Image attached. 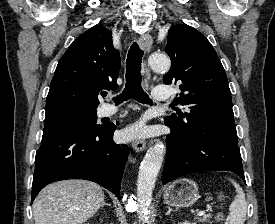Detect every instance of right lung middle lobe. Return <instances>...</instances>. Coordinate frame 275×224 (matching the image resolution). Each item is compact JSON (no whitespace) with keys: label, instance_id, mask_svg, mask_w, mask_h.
<instances>
[{"label":"right lung middle lobe","instance_id":"right-lung-middle-lobe-1","mask_svg":"<svg viewBox=\"0 0 275 224\" xmlns=\"http://www.w3.org/2000/svg\"><path fill=\"white\" fill-rule=\"evenodd\" d=\"M97 111L92 108L64 107L45 114V127L53 125H71L80 128L97 130Z\"/></svg>","mask_w":275,"mask_h":224}]
</instances>
